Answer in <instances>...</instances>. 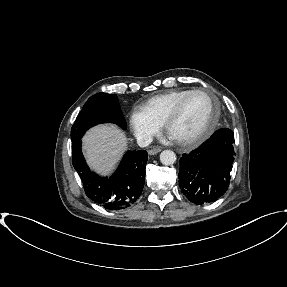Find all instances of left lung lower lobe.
Returning a JSON list of instances; mask_svg holds the SVG:
<instances>
[{
	"label": "left lung lower lobe",
	"instance_id": "0a47b994",
	"mask_svg": "<svg viewBox=\"0 0 287 287\" xmlns=\"http://www.w3.org/2000/svg\"><path fill=\"white\" fill-rule=\"evenodd\" d=\"M234 133L215 131L200 147L183 154L178 174L181 192L193 203H211L228 189L234 161Z\"/></svg>",
	"mask_w": 287,
	"mask_h": 287
}]
</instances>
